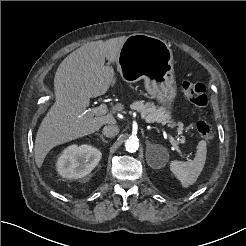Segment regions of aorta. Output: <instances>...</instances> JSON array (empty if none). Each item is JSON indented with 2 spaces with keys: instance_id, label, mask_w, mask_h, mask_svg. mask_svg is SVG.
Returning <instances> with one entry per match:
<instances>
[{
  "instance_id": "1",
  "label": "aorta",
  "mask_w": 246,
  "mask_h": 246,
  "mask_svg": "<svg viewBox=\"0 0 246 246\" xmlns=\"http://www.w3.org/2000/svg\"><path fill=\"white\" fill-rule=\"evenodd\" d=\"M125 148L128 152H136L139 148V141L136 138H129L125 141Z\"/></svg>"
}]
</instances>
